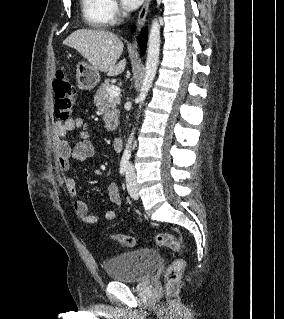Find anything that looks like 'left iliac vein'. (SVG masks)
Instances as JSON below:
<instances>
[{
	"label": "left iliac vein",
	"instance_id": "1",
	"mask_svg": "<svg viewBox=\"0 0 284 319\" xmlns=\"http://www.w3.org/2000/svg\"><path fill=\"white\" fill-rule=\"evenodd\" d=\"M126 184H127V190L130 196L133 199H138L139 194H138L137 184L135 180V175L131 167L128 168V171L126 174Z\"/></svg>",
	"mask_w": 284,
	"mask_h": 319
}]
</instances>
